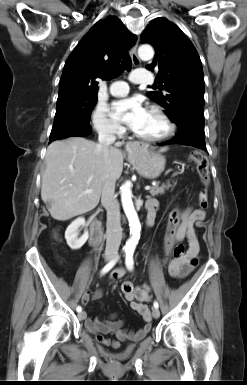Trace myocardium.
I'll use <instances>...</instances> for the list:
<instances>
[{
  "instance_id": "myocardium-1",
  "label": "myocardium",
  "mask_w": 247,
  "mask_h": 385,
  "mask_svg": "<svg viewBox=\"0 0 247 385\" xmlns=\"http://www.w3.org/2000/svg\"><path fill=\"white\" fill-rule=\"evenodd\" d=\"M148 110L153 112V113H156L163 120V122L166 125V131L162 135L154 136V137L142 136V135L137 134L135 131L133 132V135L137 139L144 141V142H148V143L161 142V141H165V140L169 139L170 137H172L173 134L175 133L176 126H175L174 122L172 121V119L164 111V109L158 105H151L148 108Z\"/></svg>"
}]
</instances>
